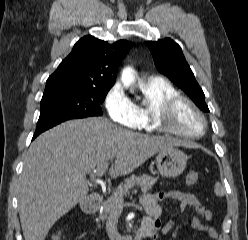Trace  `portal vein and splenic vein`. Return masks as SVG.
<instances>
[{"instance_id": "18ae733b", "label": "portal vein and splenic vein", "mask_w": 248, "mask_h": 240, "mask_svg": "<svg viewBox=\"0 0 248 240\" xmlns=\"http://www.w3.org/2000/svg\"><path fill=\"white\" fill-rule=\"evenodd\" d=\"M108 164L104 163L96 168V170H93V173L95 174L96 177L101 178L106 169H107ZM129 194V193H128ZM124 203L120 204L119 207H123Z\"/></svg>"}]
</instances>
